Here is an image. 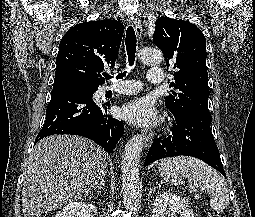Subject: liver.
Returning a JSON list of instances; mask_svg holds the SVG:
<instances>
[{
	"label": "liver",
	"mask_w": 255,
	"mask_h": 217,
	"mask_svg": "<svg viewBox=\"0 0 255 217\" xmlns=\"http://www.w3.org/2000/svg\"><path fill=\"white\" fill-rule=\"evenodd\" d=\"M106 158L98 144L80 136L53 135L39 141L24 172V217H39L89 195L106 174Z\"/></svg>",
	"instance_id": "6515ba94"
}]
</instances>
